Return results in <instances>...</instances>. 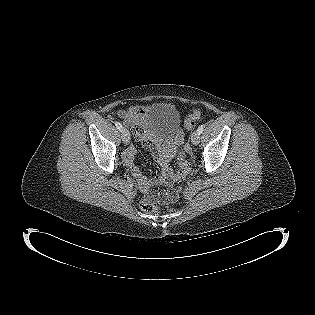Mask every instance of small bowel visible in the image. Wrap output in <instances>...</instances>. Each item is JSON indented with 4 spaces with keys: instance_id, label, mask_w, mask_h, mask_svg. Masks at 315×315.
Returning a JSON list of instances; mask_svg holds the SVG:
<instances>
[{
    "instance_id": "c3829d8e",
    "label": "small bowel",
    "mask_w": 315,
    "mask_h": 315,
    "mask_svg": "<svg viewBox=\"0 0 315 315\" xmlns=\"http://www.w3.org/2000/svg\"><path fill=\"white\" fill-rule=\"evenodd\" d=\"M147 111V106L133 105L127 110H120L117 112V116L122 119L123 123L134 129L137 139L142 143L145 149L152 153L155 161L161 168V176L151 180L147 178L136 165V150L134 148H129L126 151L124 155L125 164L130 169L140 190L144 194H149L154 184L161 181H167L171 177L172 172L168 165V161L174 154V149L169 142L165 141L163 143H159L145 131L144 121Z\"/></svg>"
}]
</instances>
